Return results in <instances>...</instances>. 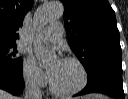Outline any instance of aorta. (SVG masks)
<instances>
[{"label": "aorta", "mask_w": 128, "mask_h": 99, "mask_svg": "<svg viewBox=\"0 0 128 99\" xmlns=\"http://www.w3.org/2000/svg\"><path fill=\"white\" fill-rule=\"evenodd\" d=\"M63 10L60 1H52L37 11L36 20L39 24H46L60 18L63 15ZM34 50L38 61L42 65H48L56 59V53L42 45H35Z\"/></svg>", "instance_id": "aorta-1"}]
</instances>
